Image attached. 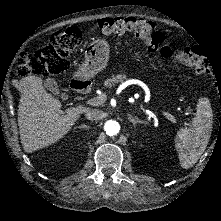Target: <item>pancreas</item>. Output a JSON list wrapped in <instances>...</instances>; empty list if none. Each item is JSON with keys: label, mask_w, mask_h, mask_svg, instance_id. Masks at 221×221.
I'll return each instance as SVG.
<instances>
[{"label": "pancreas", "mask_w": 221, "mask_h": 221, "mask_svg": "<svg viewBox=\"0 0 221 221\" xmlns=\"http://www.w3.org/2000/svg\"><path fill=\"white\" fill-rule=\"evenodd\" d=\"M127 80V75L123 73H117L116 75H111L109 78L103 81V87L106 90H110L116 83H121Z\"/></svg>", "instance_id": "cf45deb5"}]
</instances>
